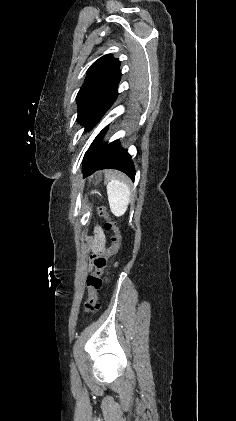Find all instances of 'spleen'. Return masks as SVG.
<instances>
[{
  "mask_svg": "<svg viewBox=\"0 0 236 421\" xmlns=\"http://www.w3.org/2000/svg\"><path fill=\"white\" fill-rule=\"evenodd\" d=\"M130 188L125 182L109 178L107 184V194L111 211L115 217L125 215L130 202Z\"/></svg>",
  "mask_w": 236,
  "mask_h": 421,
  "instance_id": "1",
  "label": "spleen"
}]
</instances>
